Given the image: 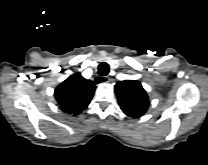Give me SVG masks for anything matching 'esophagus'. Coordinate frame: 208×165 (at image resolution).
I'll use <instances>...</instances> for the list:
<instances>
[{"instance_id":"esophagus-1","label":"esophagus","mask_w":208,"mask_h":165,"mask_svg":"<svg viewBox=\"0 0 208 165\" xmlns=\"http://www.w3.org/2000/svg\"><path fill=\"white\" fill-rule=\"evenodd\" d=\"M99 81H101L100 79H98ZM105 82L108 83L110 81V78L108 76L105 77Z\"/></svg>"}]
</instances>
